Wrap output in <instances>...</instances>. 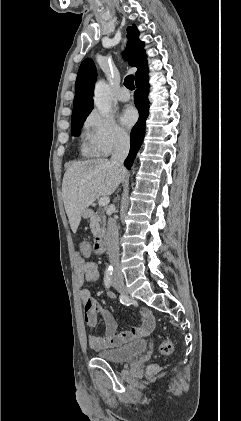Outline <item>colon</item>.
I'll use <instances>...</instances> for the list:
<instances>
[{
	"instance_id": "colon-1",
	"label": "colon",
	"mask_w": 241,
	"mask_h": 421,
	"mask_svg": "<svg viewBox=\"0 0 241 421\" xmlns=\"http://www.w3.org/2000/svg\"><path fill=\"white\" fill-rule=\"evenodd\" d=\"M91 252H94L93 244H91L89 241H82L80 243L81 255L88 256L91 254ZM172 350H173L172 342L168 338H165L159 346V351L164 355H168L172 352ZM156 371H157L156 365H151L149 367L150 373H155Z\"/></svg>"
}]
</instances>
